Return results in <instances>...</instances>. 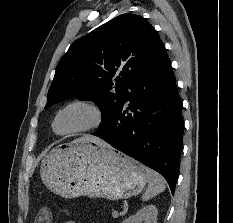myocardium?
<instances>
[{
  "instance_id": "1",
  "label": "myocardium",
  "mask_w": 233,
  "mask_h": 223,
  "mask_svg": "<svg viewBox=\"0 0 233 223\" xmlns=\"http://www.w3.org/2000/svg\"><path fill=\"white\" fill-rule=\"evenodd\" d=\"M76 105H81V106H85L88 107L89 109H91L95 116H96V122L93 126L80 130V131H76V132H71V133H59L56 130V123L58 120L59 115L66 110L67 108L71 107V106H76ZM106 121V114L105 111L103 109V107L96 101L94 100H90V99H76L73 100L71 102H68L67 104H65L64 106H62L55 114L53 121H52V130L53 132L58 135V136H79V135H86V134H90L93 132L98 131L99 129H101L103 127V125L105 124Z\"/></svg>"
}]
</instances>
